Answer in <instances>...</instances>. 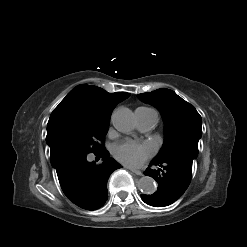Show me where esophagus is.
Returning a JSON list of instances; mask_svg holds the SVG:
<instances>
[{"mask_svg":"<svg viewBox=\"0 0 247 247\" xmlns=\"http://www.w3.org/2000/svg\"><path fill=\"white\" fill-rule=\"evenodd\" d=\"M129 170H130L131 172L135 173L136 175H139V176H142V174H143L141 171L136 170V169H133V168H129Z\"/></svg>","mask_w":247,"mask_h":247,"instance_id":"34e87169","label":"esophagus"}]
</instances>
